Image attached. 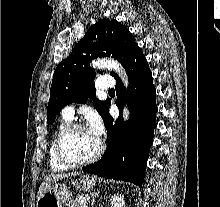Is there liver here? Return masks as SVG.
Here are the masks:
<instances>
[{"mask_svg":"<svg viewBox=\"0 0 220 207\" xmlns=\"http://www.w3.org/2000/svg\"><path fill=\"white\" fill-rule=\"evenodd\" d=\"M72 175H78V173L75 172V173H68V174H53V175L47 176L39 188L37 200L51 187L52 184H54L55 182L63 178L70 177Z\"/></svg>","mask_w":220,"mask_h":207,"instance_id":"6515ba94","label":"liver"}]
</instances>
